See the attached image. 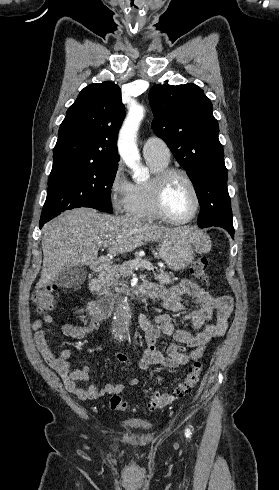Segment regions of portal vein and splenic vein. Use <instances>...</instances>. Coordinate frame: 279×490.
I'll list each match as a JSON object with an SVG mask.
<instances>
[{"instance_id":"1","label":"portal vein and splenic vein","mask_w":279,"mask_h":490,"mask_svg":"<svg viewBox=\"0 0 279 490\" xmlns=\"http://www.w3.org/2000/svg\"><path fill=\"white\" fill-rule=\"evenodd\" d=\"M103 248H108L109 244H102ZM133 268H145V270H154V266L150 262H143V260H138V262H133Z\"/></svg>"}]
</instances>
